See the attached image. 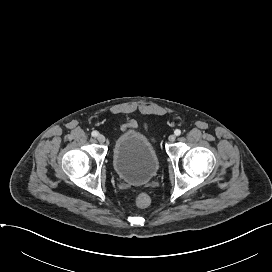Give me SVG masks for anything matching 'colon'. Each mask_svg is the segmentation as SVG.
<instances>
[{"instance_id": "obj_1", "label": "colon", "mask_w": 272, "mask_h": 272, "mask_svg": "<svg viewBox=\"0 0 272 272\" xmlns=\"http://www.w3.org/2000/svg\"><path fill=\"white\" fill-rule=\"evenodd\" d=\"M150 202H151L150 197L146 193H140L136 197V204H137V206H139L141 208H145V207L149 206Z\"/></svg>"}]
</instances>
